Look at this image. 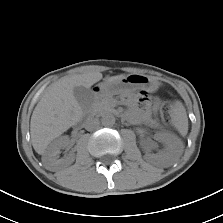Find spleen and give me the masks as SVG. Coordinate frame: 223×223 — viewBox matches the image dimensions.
Returning <instances> with one entry per match:
<instances>
[{
	"label": "spleen",
	"mask_w": 223,
	"mask_h": 223,
	"mask_svg": "<svg viewBox=\"0 0 223 223\" xmlns=\"http://www.w3.org/2000/svg\"><path fill=\"white\" fill-rule=\"evenodd\" d=\"M174 119L179 131L185 134L188 129L187 114L184 106L179 101H176L174 105Z\"/></svg>",
	"instance_id": "obj_1"
}]
</instances>
